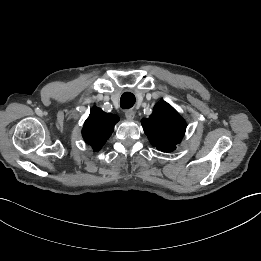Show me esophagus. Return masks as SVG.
<instances>
[{
  "label": "esophagus",
  "instance_id": "obj_1",
  "mask_svg": "<svg viewBox=\"0 0 261 261\" xmlns=\"http://www.w3.org/2000/svg\"><path fill=\"white\" fill-rule=\"evenodd\" d=\"M125 117L128 119V120H132L134 119L135 117V112L133 110H126L125 111Z\"/></svg>",
  "mask_w": 261,
  "mask_h": 261
}]
</instances>
